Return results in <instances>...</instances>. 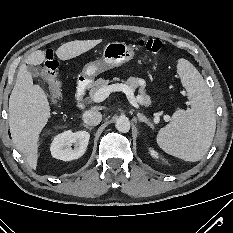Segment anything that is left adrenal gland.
<instances>
[{
    "label": "left adrenal gland",
    "mask_w": 233,
    "mask_h": 233,
    "mask_svg": "<svg viewBox=\"0 0 233 233\" xmlns=\"http://www.w3.org/2000/svg\"><path fill=\"white\" fill-rule=\"evenodd\" d=\"M137 117H138V120L140 122H145L148 126H150L152 128V125L150 124V122L148 121V119L141 113H137Z\"/></svg>",
    "instance_id": "a2214340"
}]
</instances>
